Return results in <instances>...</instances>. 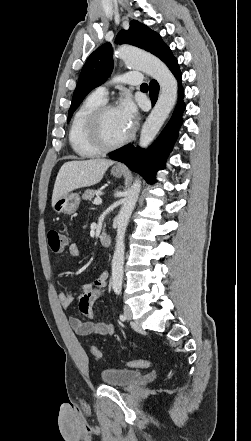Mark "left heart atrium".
<instances>
[{
	"label": "left heart atrium",
	"mask_w": 251,
	"mask_h": 441,
	"mask_svg": "<svg viewBox=\"0 0 251 441\" xmlns=\"http://www.w3.org/2000/svg\"><path fill=\"white\" fill-rule=\"evenodd\" d=\"M117 111L125 127L131 130L137 119V110L134 103L130 99H125L118 106Z\"/></svg>",
	"instance_id": "1"
}]
</instances>
